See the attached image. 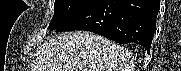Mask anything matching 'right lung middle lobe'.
Segmentation results:
<instances>
[{"mask_svg":"<svg viewBox=\"0 0 181 71\" xmlns=\"http://www.w3.org/2000/svg\"><path fill=\"white\" fill-rule=\"evenodd\" d=\"M93 1L94 0H55L54 16L49 25L50 30L58 29Z\"/></svg>","mask_w":181,"mask_h":71,"instance_id":"obj_1","label":"right lung middle lobe"}]
</instances>
